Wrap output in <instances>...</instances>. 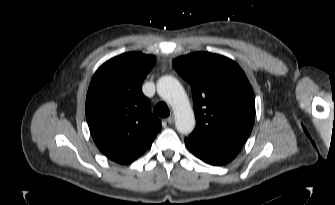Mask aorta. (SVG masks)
<instances>
[{
    "label": "aorta",
    "mask_w": 335,
    "mask_h": 205,
    "mask_svg": "<svg viewBox=\"0 0 335 205\" xmlns=\"http://www.w3.org/2000/svg\"><path fill=\"white\" fill-rule=\"evenodd\" d=\"M157 93L171 105L177 131L190 134L195 128V116L180 82L172 76H163L157 81Z\"/></svg>",
    "instance_id": "1"
}]
</instances>
